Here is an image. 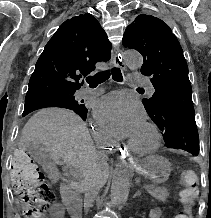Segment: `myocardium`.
<instances>
[{
    "mask_svg": "<svg viewBox=\"0 0 211 218\" xmlns=\"http://www.w3.org/2000/svg\"><path fill=\"white\" fill-rule=\"evenodd\" d=\"M145 127L149 130L152 140L147 146L136 145L130 141L126 143V147L134 154L148 155L154 152L159 146L160 134L157 127L152 123H146Z\"/></svg>",
    "mask_w": 211,
    "mask_h": 218,
    "instance_id": "obj_1",
    "label": "myocardium"
}]
</instances>
